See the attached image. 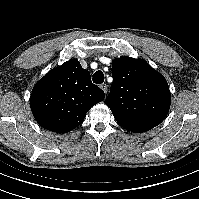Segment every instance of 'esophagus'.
Wrapping results in <instances>:
<instances>
[{"instance_id":"34e87169","label":"esophagus","mask_w":199,"mask_h":199,"mask_svg":"<svg viewBox=\"0 0 199 199\" xmlns=\"http://www.w3.org/2000/svg\"><path fill=\"white\" fill-rule=\"evenodd\" d=\"M100 88L106 93L107 92V89H108V86L106 83H103L100 85Z\"/></svg>"}]
</instances>
